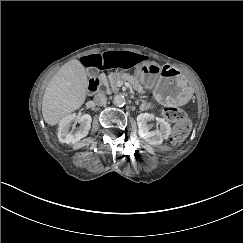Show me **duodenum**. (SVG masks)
I'll use <instances>...</instances> for the list:
<instances>
[{
    "mask_svg": "<svg viewBox=\"0 0 243 243\" xmlns=\"http://www.w3.org/2000/svg\"><path fill=\"white\" fill-rule=\"evenodd\" d=\"M98 84H99V80L97 78L90 79L89 84H88V91L89 92L96 91Z\"/></svg>",
    "mask_w": 243,
    "mask_h": 243,
    "instance_id": "1",
    "label": "duodenum"
}]
</instances>
